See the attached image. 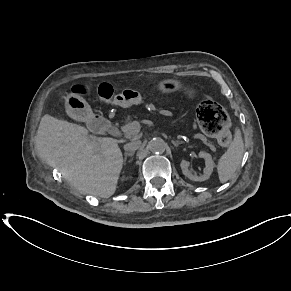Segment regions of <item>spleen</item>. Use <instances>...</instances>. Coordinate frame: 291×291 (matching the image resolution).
Masks as SVG:
<instances>
[{"instance_id":"obj_1","label":"spleen","mask_w":291,"mask_h":291,"mask_svg":"<svg viewBox=\"0 0 291 291\" xmlns=\"http://www.w3.org/2000/svg\"><path fill=\"white\" fill-rule=\"evenodd\" d=\"M244 154V143L239 128L235 129L234 139L226 152L221 156L217 165L219 180L227 182L238 169Z\"/></svg>"}]
</instances>
